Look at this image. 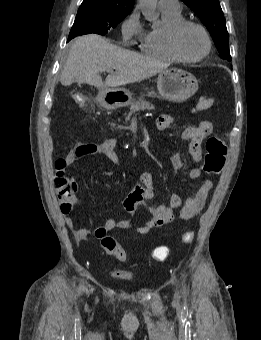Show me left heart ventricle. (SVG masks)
Listing matches in <instances>:
<instances>
[{
  "mask_svg": "<svg viewBox=\"0 0 261 340\" xmlns=\"http://www.w3.org/2000/svg\"><path fill=\"white\" fill-rule=\"evenodd\" d=\"M178 47L184 56L194 58L204 53L206 40L199 28L189 25L180 32Z\"/></svg>",
  "mask_w": 261,
  "mask_h": 340,
  "instance_id": "1",
  "label": "left heart ventricle"
}]
</instances>
